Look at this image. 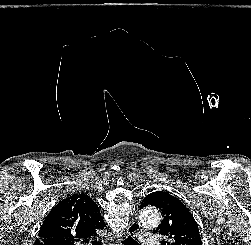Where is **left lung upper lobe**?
Segmentation results:
<instances>
[{
    "mask_svg": "<svg viewBox=\"0 0 251 245\" xmlns=\"http://www.w3.org/2000/svg\"><path fill=\"white\" fill-rule=\"evenodd\" d=\"M148 205L159 208L163 217L154 232L161 236V245H202L197 223L179 199L156 191L143 199L140 208Z\"/></svg>",
    "mask_w": 251,
    "mask_h": 245,
    "instance_id": "obj_1",
    "label": "left lung upper lobe"
}]
</instances>
